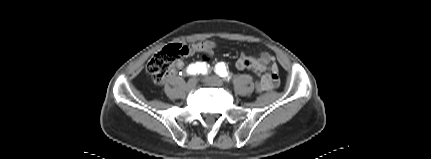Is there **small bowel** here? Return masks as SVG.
<instances>
[{"label": "small bowel", "instance_id": "small-bowel-1", "mask_svg": "<svg viewBox=\"0 0 431 159\" xmlns=\"http://www.w3.org/2000/svg\"><path fill=\"white\" fill-rule=\"evenodd\" d=\"M195 46L210 48L211 56L215 48V43L207 40L192 44L189 47L195 48ZM183 67L184 62L179 60L175 63L172 71L175 72L181 70ZM235 67L238 70H252L258 75L259 92L275 89L279 85V67L275 63L274 57L267 52L261 53L258 57H253L248 53L243 52L236 61Z\"/></svg>", "mask_w": 431, "mask_h": 159}]
</instances>
